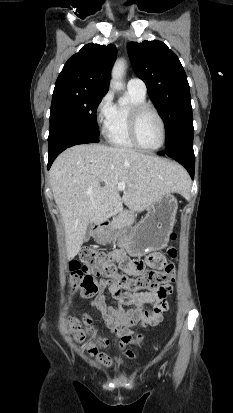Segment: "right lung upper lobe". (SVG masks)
Returning a JSON list of instances; mask_svg holds the SVG:
<instances>
[{
    "label": "right lung upper lobe",
    "instance_id": "cb5924a9",
    "mask_svg": "<svg viewBox=\"0 0 233 413\" xmlns=\"http://www.w3.org/2000/svg\"><path fill=\"white\" fill-rule=\"evenodd\" d=\"M117 56V49L109 44H87L64 65L55 88L78 87L101 93L109 89V71Z\"/></svg>",
    "mask_w": 233,
    "mask_h": 413
}]
</instances>
